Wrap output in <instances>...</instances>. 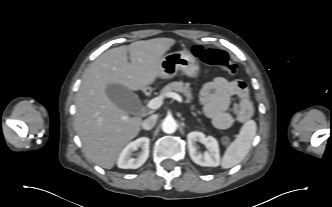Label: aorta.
<instances>
[{"label":"aorta","instance_id":"1","mask_svg":"<svg viewBox=\"0 0 332 207\" xmlns=\"http://www.w3.org/2000/svg\"><path fill=\"white\" fill-rule=\"evenodd\" d=\"M177 129V123L172 117H167L162 122V130L167 134H172Z\"/></svg>","mask_w":332,"mask_h":207}]
</instances>
